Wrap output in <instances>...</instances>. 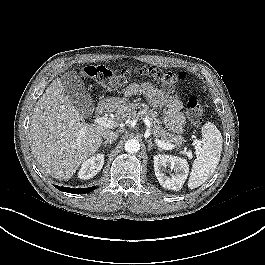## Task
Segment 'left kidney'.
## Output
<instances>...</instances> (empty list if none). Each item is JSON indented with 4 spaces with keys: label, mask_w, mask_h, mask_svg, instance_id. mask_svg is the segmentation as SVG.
Returning a JSON list of instances; mask_svg holds the SVG:
<instances>
[{
    "label": "left kidney",
    "mask_w": 265,
    "mask_h": 265,
    "mask_svg": "<svg viewBox=\"0 0 265 265\" xmlns=\"http://www.w3.org/2000/svg\"><path fill=\"white\" fill-rule=\"evenodd\" d=\"M155 175L161 186L167 189L178 191L182 188L189 173L188 163L185 159L172 155L154 156ZM169 167L175 174L167 176L165 168Z\"/></svg>",
    "instance_id": "1"
}]
</instances>
